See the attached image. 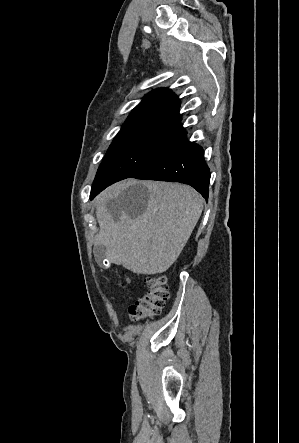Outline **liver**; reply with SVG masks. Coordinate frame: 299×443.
Returning <instances> with one entry per match:
<instances>
[{"mask_svg":"<svg viewBox=\"0 0 299 443\" xmlns=\"http://www.w3.org/2000/svg\"><path fill=\"white\" fill-rule=\"evenodd\" d=\"M129 187L130 200L123 202ZM95 201V245L106 247L110 262L143 275L163 273L177 260L203 210L193 188L159 181L115 184Z\"/></svg>","mask_w":299,"mask_h":443,"instance_id":"1","label":"liver"}]
</instances>
